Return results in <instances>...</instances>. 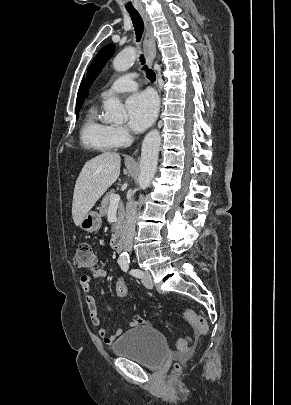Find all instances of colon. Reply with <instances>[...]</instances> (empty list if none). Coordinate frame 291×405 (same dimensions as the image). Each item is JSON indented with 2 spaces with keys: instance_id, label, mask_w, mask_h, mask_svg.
Masks as SVG:
<instances>
[{
  "instance_id": "obj_1",
  "label": "colon",
  "mask_w": 291,
  "mask_h": 405,
  "mask_svg": "<svg viewBox=\"0 0 291 405\" xmlns=\"http://www.w3.org/2000/svg\"><path fill=\"white\" fill-rule=\"evenodd\" d=\"M74 265L77 269L94 271L97 268V257L88 243H80L76 248ZM115 292L119 298H125L128 294V288L123 278H118L115 283ZM185 319L202 335L207 336L209 326L207 320L191 309L184 312ZM176 347L180 351H185L189 347L187 338H179Z\"/></svg>"
}]
</instances>
